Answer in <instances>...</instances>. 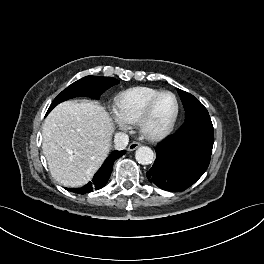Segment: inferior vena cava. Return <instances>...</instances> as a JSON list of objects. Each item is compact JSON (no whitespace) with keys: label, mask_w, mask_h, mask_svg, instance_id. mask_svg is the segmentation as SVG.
<instances>
[{"label":"inferior vena cava","mask_w":264,"mask_h":264,"mask_svg":"<svg viewBox=\"0 0 264 264\" xmlns=\"http://www.w3.org/2000/svg\"><path fill=\"white\" fill-rule=\"evenodd\" d=\"M129 142V137L127 134L119 132L114 136V148L116 150H123L126 148Z\"/></svg>","instance_id":"602c4592"}]
</instances>
